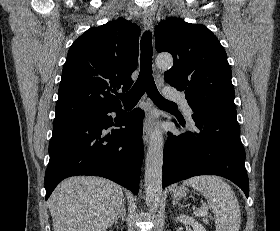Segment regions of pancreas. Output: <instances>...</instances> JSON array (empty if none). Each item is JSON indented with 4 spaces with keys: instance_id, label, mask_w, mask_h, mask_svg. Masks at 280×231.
Listing matches in <instances>:
<instances>
[{
    "instance_id": "obj_1",
    "label": "pancreas",
    "mask_w": 280,
    "mask_h": 231,
    "mask_svg": "<svg viewBox=\"0 0 280 231\" xmlns=\"http://www.w3.org/2000/svg\"><path fill=\"white\" fill-rule=\"evenodd\" d=\"M202 221H204V223H208L209 219L208 217H203Z\"/></svg>"
}]
</instances>
